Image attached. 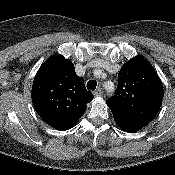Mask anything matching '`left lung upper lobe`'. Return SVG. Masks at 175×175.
Returning <instances> with one entry per match:
<instances>
[{
	"label": "left lung upper lobe",
	"mask_w": 175,
	"mask_h": 175,
	"mask_svg": "<svg viewBox=\"0 0 175 175\" xmlns=\"http://www.w3.org/2000/svg\"><path fill=\"white\" fill-rule=\"evenodd\" d=\"M163 95L155 69L143 57L136 56L120 69L115 95L106 103L115 120L145 126L158 113Z\"/></svg>",
	"instance_id": "5c2ea615"
}]
</instances>
